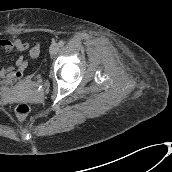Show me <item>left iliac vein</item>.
Masks as SVG:
<instances>
[{
	"mask_svg": "<svg viewBox=\"0 0 172 172\" xmlns=\"http://www.w3.org/2000/svg\"><path fill=\"white\" fill-rule=\"evenodd\" d=\"M58 50H59V46L57 43L51 44L49 49L51 55H55L58 52Z\"/></svg>",
	"mask_w": 172,
	"mask_h": 172,
	"instance_id": "left-iliac-vein-1",
	"label": "left iliac vein"
}]
</instances>
